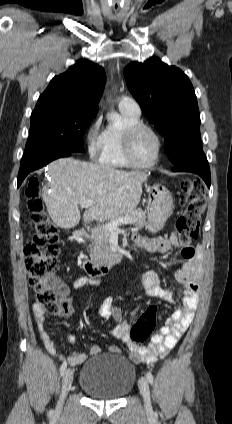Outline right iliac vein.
I'll list each match as a JSON object with an SVG mask.
<instances>
[{
    "label": "right iliac vein",
    "mask_w": 232,
    "mask_h": 424,
    "mask_svg": "<svg viewBox=\"0 0 232 424\" xmlns=\"http://www.w3.org/2000/svg\"><path fill=\"white\" fill-rule=\"evenodd\" d=\"M72 382H73V370L69 368L65 371L63 376L61 394H60L57 407H56L57 411L62 410L65 397L71 388Z\"/></svg>",
    "instance_id": "1"
}]
</instances>
